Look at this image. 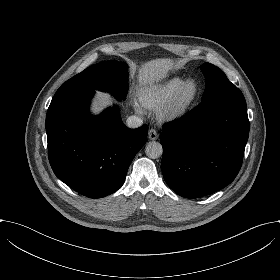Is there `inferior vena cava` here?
<instances>
[{"label":"inferior vena cava","instance_id":"inferior-vena-cava-1","mask_svg":"<svg viewBox=\"0 0 280 280\" xmlns=\"http://www.w3.org/2000/svg\"><path fill=\"white\" fill-rule=\"evenodd\" d=\"M126 125L129 128H137L142 125V118L137 115H132L126 120Z\"/></svg>","mask_w":280,"mask_h":280}]
</instances>
